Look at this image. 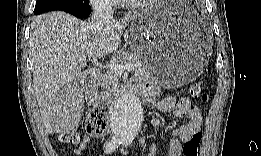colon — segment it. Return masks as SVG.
Instances as JSON below:
<instances>
[{
    "label": "colon",
    "instance_id": "colon-1",
    "mask_svg": "<svg viewBox=\"0 0 261 156\" xmlns=\"http://www.w3.org/2000/svg\"><path fill=\"white\" fill-rule=\"evenodd\" d=\"M190 94L193 97H201L203 102L208 101L209 95L202 93L201 82H195L190 86ZM86 131L93 137H100L108 132V110L106 106H99L93 109L87 117L85 123ZM202 135L196 132L192 137L184 143V156H197L201 144ZM59 141L65 144H79L80 134L77 131H64L59 135Z\"/></svg>",
    "mask_w": 261,
    "mask_h": 156
}]
</instances>
